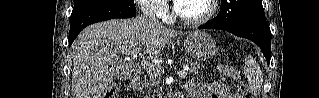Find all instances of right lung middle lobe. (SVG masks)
<instances>
[{
    "label": "right lung middle lobe",
    "mask_w": 319,
    "mask_h": 98,
    "mask_svg": "<svg viewBox=\"0 0 319 98\" xmlns=\"http://www.w3.org/2000/svg\"><path fill=\"white\" fill-rule=\"evenodd\" d=\"M102 2H115V3L127 5V6L134 5V0H75L74 7L84 5V4H89V3H102Z\"/></svg>",
    "instance_id": "right-lung-middle-lobe-1"
}]
</instances>
